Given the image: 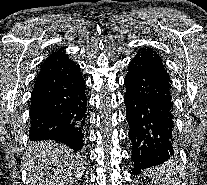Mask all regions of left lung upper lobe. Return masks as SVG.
<instances>
[{"instance_id":"obj_1","label":"left lung upper lobe","mask_w":207,"mask_h":185,"mask_svg":"<svg viewBox=\"0 0 207 185\" xmlns=\"http://www.w3.org/2000/svg\"><path fill=\"white\" fill-rule=\"evenodd\" d=\"M130 67H143L150 71L156 72L165 79L170 80L167 71L159 54L150 48L140 50L135 58L132 59Z\"/></svg>"}]
</instances>
